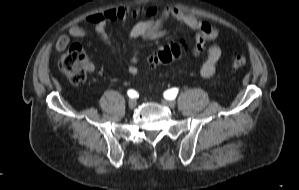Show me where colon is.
Instances as JSON below:
<instances>
[{"instance_id": "colon-1", "label": "colon", "mask_w": 299, "mask_h": 190, "mask_svg": "<svg viewBox=\"0 0 299 190\" xmlns=\"http://www.w3.org/2000/svg\"><path fill=\"white\" fill-rule=\"evenodd\" d=\"M184 53V47L180 43H171L159 49L157 54L150 59L152 67L167 65L180 58ZM247 56L244 52H233L231 65L241 68L246 64ZM62 72L71 83L83 84L86 80L87 59L81 45L72 44L67 52L59 60Z\"/></svg>"}]
</instances>
